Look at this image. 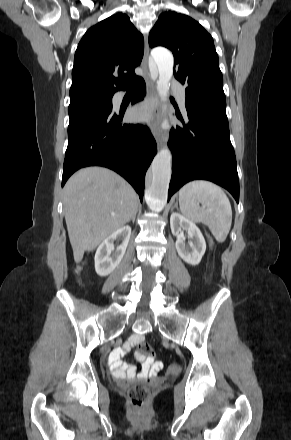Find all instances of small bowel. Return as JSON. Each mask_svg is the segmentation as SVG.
Wrapping results in <instances>:
<instances>
[{"mask_svg":"<svg viewBox=\"0 0 291 440\" xmlns=\"http://www.w3.org/2000/svg\"><path fill=\"white\" fill-rule=\"evenodd\" d=\"M143 339V335L134 334L126 341L121 348L117 349L109 358V365L111 373L118 378H130V379H148L153 378L159 374L163 368L161 362L154 361L151 358L139 357L138 360L141 362V369L137 371L136 368L126 362H122L118 358L119 353H124L130 351L140 340ZM174 370L177 372L183 371V364L176 363Z\"/></svg>","mask_w":291,"mask_h":440,"instance_id":"1","label":"small bowel"}]
</instances>
